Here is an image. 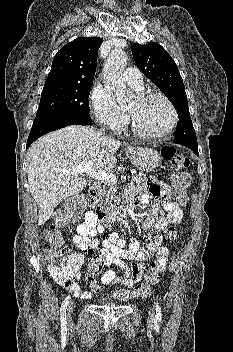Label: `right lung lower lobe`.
<instances>
[{
    "label": "right lung lower lobe",
    "mask_w": 233,
    "mask_h": 352,
    "mask_svg": "<svg viewBox=\"0 0 233 352\" xmlns=\"http://www.w3.org/2000/svg\"><path fill=\"white\" fill-rule=\"evenodd\" d=\"M92 123V119L90 117H81V116H70L65 118H58L53 120H48L45 122L33 124L32 129L30 131L26 149L39 137L42 135L49 133L51 131L66 127L68 125H90Z\"/></svg>",
    "instance_id": "98d812e1"
}]
</instances>
